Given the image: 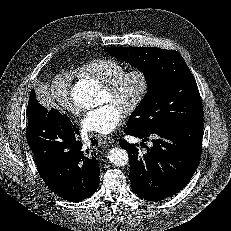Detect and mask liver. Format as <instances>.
<instances>
[{
	"label": "liver",
	"mask_w": 231,
	"mask_h": 231,
	"mask_svg": "<svg viewBox=\"0 0 231 231\" xmlns=\"http://www.w3.org/2000/svg\"><path fill=\"white\" fill-rule=\"evenodd\" d=\"M35 91H36L37 100L44 107H46L47 109L56 107V104L52 100V96L50 94V89L48 84L38 83Z\"/></svg>",
	"instance_id": "6515ba94"
}]
</instances>
